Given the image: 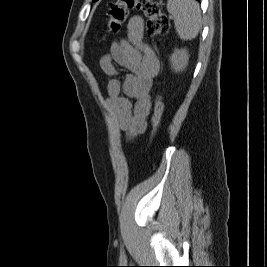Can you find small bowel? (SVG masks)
Wrapping results in <instances>:
<instances>
[{"label": "small bowel", "instance_id": "1", "mask_svg": "<svg viewBox=\"0 0 267 267\" xmlns=\"http://www.w3.org/2000/svg\"><path fill=\"white\" fill-rule=\"evenodd\" d=\"M117 66L130 71L123 82L117 78ZM100 67L111 77L106 105L114 123L128 139L142 134L152 107L153 79L160 69L158 57L145 41L142 17L129 20L127 39L113 43L110 53L100 59Z\"/></svg>", "mask_w": 267, "mask_h": 267}]
</instances>
